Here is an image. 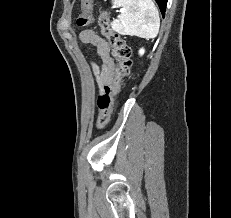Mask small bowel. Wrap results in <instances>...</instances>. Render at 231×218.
<instances>
[{
  "instance_id": "small-bowel-1",
  "label": "small bowel",
  "mask_w": 231,
  "mask_h": 218,
  "mask_svg": "<svg viewBox=\"0 0 231 218\" xmlns=\"http://www.w3.org/2000/svg\"><path fill=\"white\" fill-rule=\"evenodd\" d=\"M83 43L95 48L101 59V65L92 62V70L99 87V95L104 88L110 85L116 74L115 59L109 44L93 30H84L80 33Z\"/></svg>"
}]
</instances>
